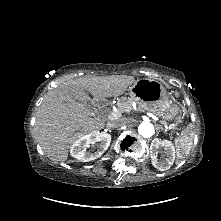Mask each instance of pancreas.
I'll use <instances>...</instances> for the list:
<instances>
[{
    "label": "pancreas",
    "mask_w": 221,
    "mask_h": 221,
    "mask_svg": "<svg viewBox=\"0 0 221 221\" xmlns=\"http://www.w3.org/2000/svg\"><path fill=\"white\" fill-rule=\"evenodd\" d=\"M133 100L131 98L121 97L118 102V107L122 112H129L132 110ZM141 111L144 109L140 108ZM163 124H166L165 121H162Z\"/></svg>",
    "instance_id": "pancreas-1"
}]
</instances>
